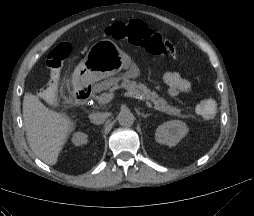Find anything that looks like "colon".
Segmentation results:
<instances>
[{
  "label": "colon",
  "instance_id": "5ec220e1",
  "mask_svg": "<svg viewBox=\"0 0 254 216\" xmlns=\"http://www.w3.org/2000/svg\"><path fill=\"white\" fill-rule=\"evenodd\" d=\"M104 35L118 41L143 47L153 55H169V52L162 44L164 36L149 29L145 23L139 20L110 24L105 27ZM71 50V41L64 40L53 48L47 56L46 66L49 70V82L41 90V95L46 100H53L57 97L62 67L69 57ZM196 111L203 119L210 120L216 115L217 104L211 98L203 99L198 103Z\"/></svg>",
  "mask_w": 254,
  "mask_h": 216
}]
</instances>
